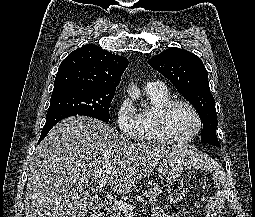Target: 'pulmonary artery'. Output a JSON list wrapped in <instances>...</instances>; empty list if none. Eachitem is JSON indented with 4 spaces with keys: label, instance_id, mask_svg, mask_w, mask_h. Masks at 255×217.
<instances>
[{
    "label": "pulmonary artery",
    "instance_id": "pulmonary-artery-1",
    "mask_svg": "<svg viewBox=\"0 0 255 217\" xmlns=\"http://www.w3.org/2000/svg\"><path fill=\"white\" fill-rule=\"evenodd\" d=\"M155 87H163V85L160 82H149L146 85V88H155Z\"/></svg>",
    "mask_w": 255,
    "mask_h": 217
}]
</instances>
